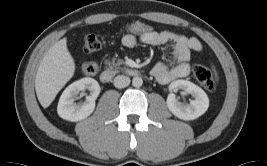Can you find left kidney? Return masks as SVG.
<instances>
[{"mask_svg": "<svg viewBox=\"0 0 267 166\" xmlns=\"http://www.w3.org/2000/svg\"><path fill=\"white\" fill-rule=\"evenodd\" d=\"M184 90L191 94L194 99L189 104L180 102L173 93L177 90ZM170 94L167 97L168 109L182 120H194L204 114L209 107V99L206 93L194 83L187 80H176L169 85Z\"/></svg>", "mask_w": 267, "mask_h": 166, "instance_id": "5707ae66", "label": "left kidney"}]
</instances>
